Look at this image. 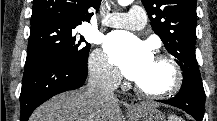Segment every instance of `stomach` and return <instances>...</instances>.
I'll return each mask as SVG.
<instances>
[{"label": "stomach", "mask_w": 217, "mask_h": 121, "mask_svg": "<svg viewBox=\"0 0 217 121\" xmlns=\"http://www.w3.org/2000/svg\"><path fill=\"white\" fill-rule=\"evenodd\" d=\"M141 121H166L165 116L157 109L146 106L139 112Z\"/></svg>", "instance_id": "1"}]
</instances>
